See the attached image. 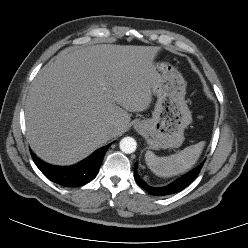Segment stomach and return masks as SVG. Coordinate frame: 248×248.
Instances as JSON below:
<instances>
[{
    "label": "stomach",
    "instance_id": "obj_1",
    "mask_svg": "<svg viewBox=\"0 0 248 248\" xmlns=\"http://www.w3.org/2000/svg\"><path fill=\"white\" fill-rule=\"evenodd\" d=\"M186 85L173 65L156 63L152 89L157 101L152 118L135 124V129L149 138L152 149L177 148L183 143L184 129L192 122L185 101Z\"/></svg>",
    "mask_w": 248,
    "mask_h": 248
}]
</instances>
